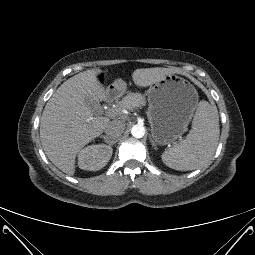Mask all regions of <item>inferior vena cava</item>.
Returning a JSON list of instances; mask_svg holds the SVG:
<instances>
[{"instance_id":"inferior-vena-cava-1","label":"inferior vena cava","mask_w":255,"mask_h":255,"mask_svg":"<svg viewBox=\"0 0 255 255\" xmlns=\"http://www.w3.org/2000/svg\"><path fill=\"white\" fill-rule=\"evenodd\" d=\"M125 129V123L121 120L110 121L105 126V134L107 140L110 144H114L117 142L118 137L123 133Z\"/></svg>"}]
</instances>
